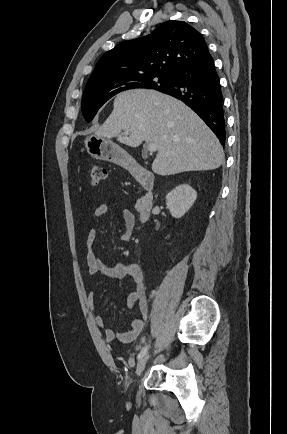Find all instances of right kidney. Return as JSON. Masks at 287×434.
I'll list each match as a JSON object with an SVG mask.
<instances>
[{
  "mask_svg": "<svg viewBox=\"0 0 287 434\" xmlns=\"http://www.w3.org/2000/svg\"><path fill=\"white\" fill-rule=\"evenodd\" d=\"M197 192L188 184L175 187L166 195V205L174 218H181L193 205Z\"/></svg>",
  "mask_w": 287,
  "mask_h": 434,
  "instance_id": "1",
  "label": "right kidney"
}]
</instances>
